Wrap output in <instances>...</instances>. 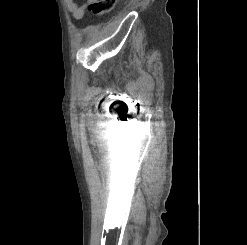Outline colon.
I'll return each mask as SVG.
<instances>
[{"label": "colon", "mask_w": 247, "mask_h": 245, "mask_svg": "<svg viewBox=\"0 0 247 245\" xmlns=\"http://www.w3.org/2000/svg\"><path fill=\"white\" fill-rule=\"evenodd\" d=\"M118 0H91L89 3V11L94 15L101 16L110 13Z\"/></svg>", "instance_id": "1"}]
</instances>
